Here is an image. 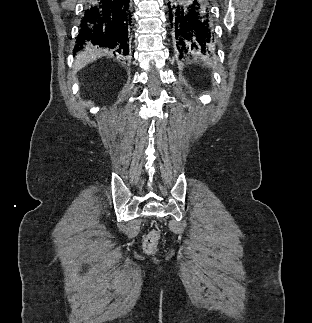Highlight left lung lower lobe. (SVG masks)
Here are the masks:
<instances>
[{
  "label": "left lung lower lobe",
  "instance_id": "0a47b994",
  "mask_svg": "<svg viewBox=\"0 0 312 323\" xmlns=\"http://www.w3.org/2000/svg\"><path fill=\"white\" fill-rule=\"evenodd\" d=\"M167 5L170 38L179 59L215 54L210 0H172Z\"/></svg>",
  "mask_w": 312,
  "mask_h": 323
}]
</instances>
